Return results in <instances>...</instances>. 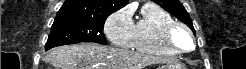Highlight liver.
I'll use <instances>...</instances> for the list:
<instances>
[{
	"mask_svg": "<svg viewBox=\"0 0 246 69\" xmlns=\"http://www.w3.org/2000/svg\"><path fill=\"white\" fill-rule=\"evenodd\" d=\"M49 61L59 69H143L168 60L126 49L83 43L54 49Z\"/></svg>",
	"mask_w": 246,
	"mask_h": 69,
	"instance_id": "obj_1",
	"label": "liver"
}]
</instances>
